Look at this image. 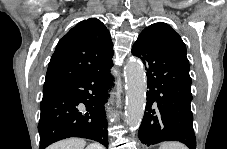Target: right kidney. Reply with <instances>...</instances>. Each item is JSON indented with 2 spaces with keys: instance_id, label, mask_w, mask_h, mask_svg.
Instances as JSON below:
<instances>
[{
  "instance_id": "ca27d5eb",
  "label": "right kidney",
  "mask_w": 227,
  "mask_h": 149,
  "mask_svg": "<svg viewBox=\"0 0 227 149\" xmlns=\"http://www.w3.org/2000/svg\"><path fill=\"white\" fill-rule=\"evenodd\" d=\"M86 149H99L97 144H90Z\"/></svg>"
}]
</instances>
